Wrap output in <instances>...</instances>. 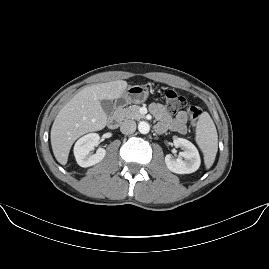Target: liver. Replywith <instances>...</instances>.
<instances>
[{"instance_id":"obj_1","label":"liver","mask_w":269,"mask_h":269,"mask_svg":"<svg viewBox=\"0 0 269 269\" xmlns=\"http://www.w3.org/2000/svg\"><path fill=\"white\" fill-rule=\"evenodd\" d=\"M127 87L123 80L92 85L77 93L58 113L51 129L56 159L65 164L73 142L81 135L105 127L107 116L100 100L119 97Z\"/></svg>"}]
</instances>
